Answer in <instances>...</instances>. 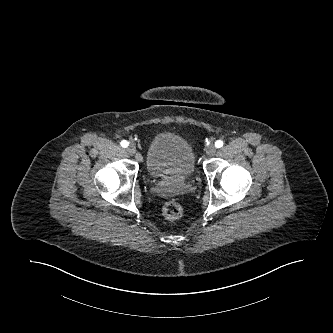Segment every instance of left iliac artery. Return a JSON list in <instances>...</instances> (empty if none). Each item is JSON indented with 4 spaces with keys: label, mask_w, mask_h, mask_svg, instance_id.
<instances>
[{
    "label": "left iliac artery",
    "mask_w": 333,
    "mask_h": 333,
    "mask_svg": "<svg viewBox=\"0 0 333 333\" xmlns=\"http://www.w3.org/2000/svg\"><path fill=\"white\" fill-rule=\"evenodd\" d=\"M223 141L222 140H217L216 142H215V147L216 148H221L222 146H223Z\"/></svg>",
    "instance_id": "obj_1"
}]
</instances>
